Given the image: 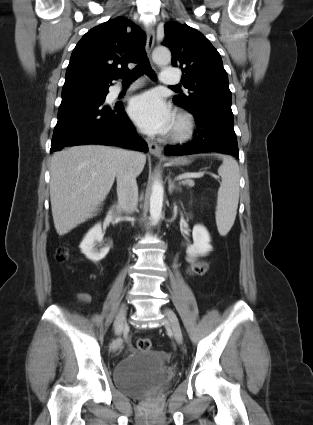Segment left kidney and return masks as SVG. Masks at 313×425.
Returning a JSON list of instances; mask_svg holds the SVG:
<instances>
[{"label": "left kidney", "mask_w": 313, "mask_h": 425, "mask_svg": "<svg viewBox=\"0 0 313 425\" xmlns=\"http://www.w3.org/2000/svg\"><path fill=\"white\" fill-rule=\"evenodd\" d=\"M193 244L187 247L186 253L189 256H203L212 250L210 245V235L202 225H195L192 231Z\"/></svg>", "instance_id": "1"}]
</instances>
